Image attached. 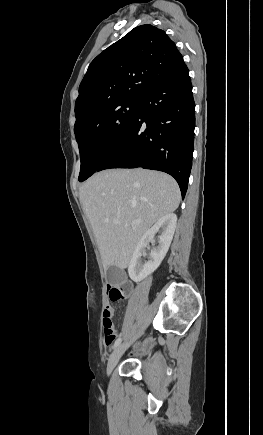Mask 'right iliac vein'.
I'll return each mask as SVG.
<instances>
[{"instance_id":"63e3f726","label":"right iliac vein","mask_w":263,"mask_h":435,"mask_svg":"<svg viewBox=\"0 0 263 435\" xmlns=\"http://www.w3.org/2000/svg\"><path fill=\"white\" fill-rule=\"evenodd\" d=\"M139 336L134 337L129 342L123 343L122 345L118 346L114 352L110 355L108 364H107V375H110L115 366L117 365L120 357L124 353V351L138 338Z\"/></svg>"}]
</instances>
